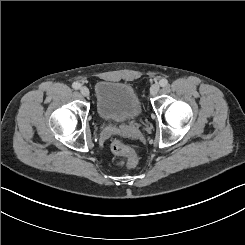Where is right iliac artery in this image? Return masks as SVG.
Masks as SVG:
<instances>
[{
  "instance_id": "82829eb1",
  "label": "right iliac artery",
  "mask_w": 245,
  "mask_h": 245,
  "mask_svg": "<svg viewBox=\"0 0 245 245\" xmlns=\"http://www.w3.org/2000/svg\"><path fill=\"white\" fill-rule=\"evenodd\" d=\"M72 87H73L75 90H78V89L81 87V85H80V83H78V82H74V83L72 84Z\"/></svg>"
}]
</instances>
